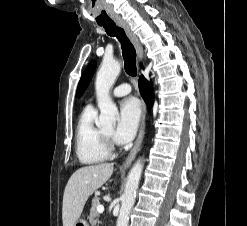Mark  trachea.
<instances>
[{
    "instance_id": "3493384b",
    "label": "trachea",
    "mask_w": 247,
    "mask_h": 226,
    "mask_svg": "<svg viewBox=\"0 0 247 226\" xmlns=\"http://www.w3.org/2000/svg\"><path fill=\"white\" fill-rule=\"evenodd\" d=\"M99 25L103 26L109 36L116 37L120 41L125 71L129 76L135 77L137 74L136 50L126 36L125 31L113 21Z\"/></svg>"
}]
</instances>
